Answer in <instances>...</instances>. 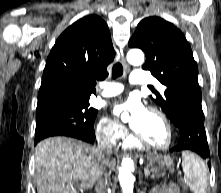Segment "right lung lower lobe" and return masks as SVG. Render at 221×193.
Listing matches in <instances>:
<instances>
[{
    "instance_id": "1",
    "label": "right lung lower lobe",
    "mask_w": 221,
    "mask_h": 193,
    "mask_svg": "<svg viewBox=\"0 0 221 193\" xmlns=\"http://www.w3.org/2000/svg\"><path fill=\"white\" fill-rule=\"evenodd\" d=\"M65 136L78 138V139L84 140V141L89 142V143H93L94 140H95V134L91 135V136H85V135H65ZM39 141L40 140H35L34 144L36 145Z\"/></svg>"
}]
</instances>
